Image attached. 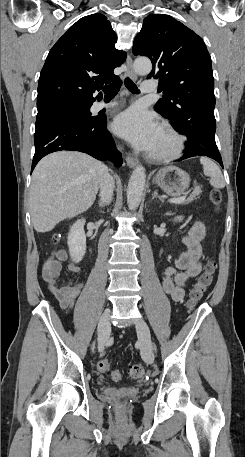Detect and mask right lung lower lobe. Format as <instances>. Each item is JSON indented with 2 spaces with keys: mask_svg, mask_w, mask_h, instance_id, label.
Here are the masks:
<instances>
[{
  "mask_svg": "<svg viewBox=\"0 0 245 457\" xmlns=\"http://www.w3.org/2000/svg\"><path fill=\"white\" fill-rule=\"evenodd\" d=\"M106 116H85L72 111L42 115L36 120L32 170L45 155L61 150L81 151L121 166V154L106 128Z\"/></svg>",
  "mask_w": 245,
  "mask_h": 457,
  "instance_id": "98d812e1",
  "label": "right lung lower lobe"
}]
</instances>
